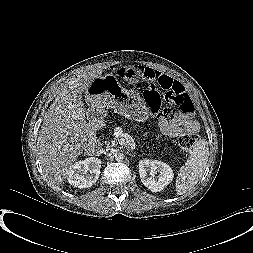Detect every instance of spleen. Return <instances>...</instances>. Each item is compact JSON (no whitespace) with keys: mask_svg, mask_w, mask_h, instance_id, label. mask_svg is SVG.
I'll return each instance as SVG.
<instances>
[{"mask_svg":"<svg viewBox=\"0 0 253 253\" xmlns=\"http://www.w3.org/2000/svg\"><path fill=\"white\" fill-rule=\"evenodd\" d=\"M209 156L208 143L205 139L197 141L192 148L190 157L179 169L176 181V194L183 195L193 188L201 178Z\"/></svg>","mask_w":253,"mask_h":253,"instance_id":"1","label":"spleen"}]
</instances>
